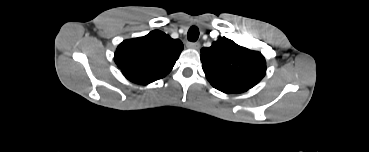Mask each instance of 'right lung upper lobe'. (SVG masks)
Masks as SVG:
<instances>
[{
    "instance_id": "1",
    "label": "right lung upper lobe",
    "mask_w": 369,
    "mask_h": 152,
    "mask_svg": "<svg viewBox=\"0 0 369 152\" xmlns=\"http://www.w3.org/2000/svg\"><path fill=\"white\" fill-rule=\"evenodd\" d=\"M182 49L180 40L154 30L146 36L123 41L114 59L128 80L149 84L165 77L172 70Z\"/></svg>"
}]
</instances>
